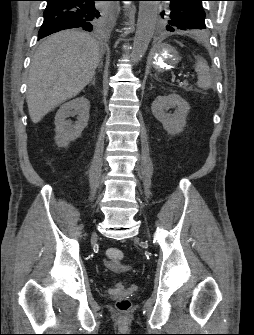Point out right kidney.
<instances>
[{
  "mask_svg": "<svg viewBox=\"0 0 254 335\" xmlns=\"http://www.w3.org/2000/svg\"><path fill=\"white\" fill-rule=\"evenodd\" d=\"M90 102L85 97H78L64 103L55 116V143L58 147H67L75 141L88 125ZM69 115H78L77 121L66 120Z\"/></svg>",
  "mask_w": 254,
  "mask_h": 335,
  "instance_id": "right-kidney-1",
  "label": "right kidney"
}]
</instances>
